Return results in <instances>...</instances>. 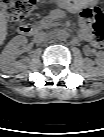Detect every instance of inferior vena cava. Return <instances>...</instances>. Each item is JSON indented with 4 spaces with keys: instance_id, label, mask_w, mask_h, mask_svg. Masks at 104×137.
Wrapping results in <instances>:
<instances>
[{
    "instance_id": "obj_1",
    "label": "inferior vena cava",
    "mask_w": 104,
    "mask_h": 137,
    "mask_svg": "<svg viewBox=\"0 0 104 137\" xmlns=\"http://www.w3.org/2000/svg\"><path fill=\"white\" fill-rule=\"evenodd\" d=\"M49 37V34H47L46 32H36L34 35V40L37 43H41L43 41H46Z\"/></svg>"
}]
</instances>
